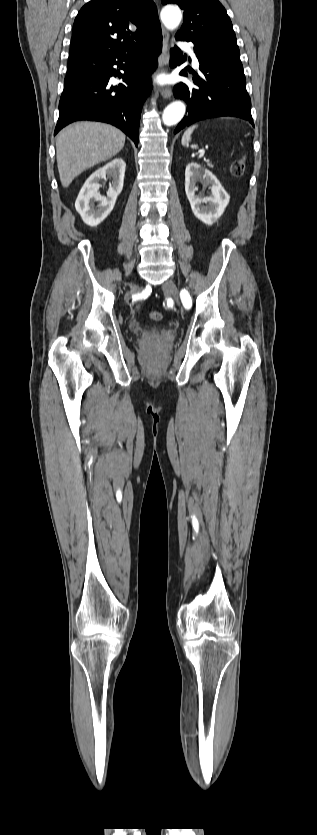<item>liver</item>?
I'll return each instance as SVG.
<instances>
[{
    "instance_id": "1",
    "label": "liver",
    "mask_w": 317,
    "mask_h": 835,
    "mask_svg": "<svg viewBox=\"0 0 317 835\" xmlns=\"http://www.w3.org/2000/svg\"><path fill=\"white\" fill-rule=\"evenodd\" d=\"M125 134L114 126L98 122H77L59 132L56 156L60 181L68 187L84 170L119 153Z\"/></svg>"
}]
</instances>
